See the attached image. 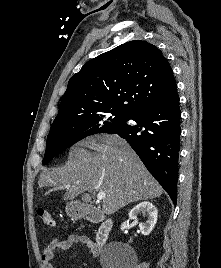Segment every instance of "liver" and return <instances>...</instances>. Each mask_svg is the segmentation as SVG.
<instances>
[{
	"label": "liver",
	"mask_w": 221,
	"mask_h": 268,
	"mask_svg": "<svg viewBox=\"0 0 221 268\" xmlns=\"http://www.w3.org/2000/svg\"><path fill=\"white\" fill-rule=\"evenodd\" d=\"M83 147H88L90 152ZM39 188L70 185L63 199L86 191H103L102 210L111 215L132 202L160 197L163 188L128 143L117 135H99L71 148L65 166L44 170Z\"/></svg>",
	"instance_id": "obj_1"
}]
</instances>
